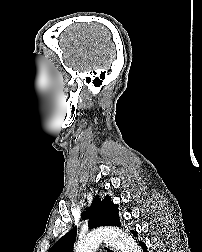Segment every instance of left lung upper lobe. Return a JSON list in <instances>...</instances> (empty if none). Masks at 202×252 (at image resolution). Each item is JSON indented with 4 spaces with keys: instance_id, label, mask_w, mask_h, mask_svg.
I'll use <instances>...</instances> for the list:
<instances>
[{
    "instance_id": "1",
    "label": "left lung upper lobe",
    "mask_w": 202,
    "mask_h": 252,
    "mask_svg": "<svg viewBox=\"0 0 202 252\" xmlns=\"http://www.w3.org/2000/svg\"><path fill=\"white\" fill-rule=\"evenodd\" d=\"M82 219H89V227L99 226H120L118 206L114 205L110 196L103 200L95 196L91 207L81 215ZM76 227L62 236L48 252H72V247L76 239Z\"/></svg>"
}]
</instances>
